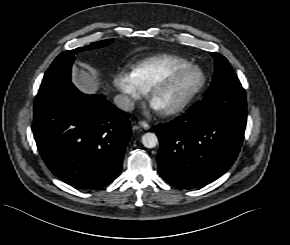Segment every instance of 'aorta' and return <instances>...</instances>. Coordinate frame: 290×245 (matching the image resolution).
<instances>
[{"instance_id": "obj_1", "label": "aorta", "mask_w": 290, "mask_h": 245, "mask_svg": "<svg viewBox=\"0 0 290 245\" xmlns=\"http://www.w3.org/2000/svg\"><path fill=\"white\" fill-rule=\"evenodd\" d=\"M142 144L146 147V148H154L157 146L158 144V138L156 136L155 133H145L142 136Z\"/></svg>"}]
</instances>
